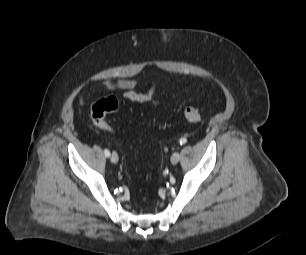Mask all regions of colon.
Masks as SVG:
<instances>
[{
    "label": "colon",
    "mask_w": 306,
    "mask_h": 255,
    "mask_svg": "<svg viewBox=\"0 0 306 255\" xmlns=\"http://www.w3.org/2000/svg\"><path fill=\"white\" fill-rule=\"evenodd\" d=\"M119 107V101L115 97L109 96L101 98L91 107V120L99 128L113 132V129L105 120V116L106 114L118 111ZM184 117L187 121L194 124H199L202 120L199 110L192 106H188L184 109Z\"/></svg>",
    "instance_id": "obj_1"
}]
</instances>
